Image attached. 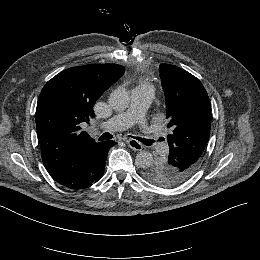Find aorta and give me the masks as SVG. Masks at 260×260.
Segmentation results:
<instances>
[{"label":"aorta","instance_id":"aorta-1","mask_svg":"<svg viewBox=\"0 0 260 260\" xmlns=\"http://www.w3.org/2000/svg\"><path fill=\"white\" fill-rule=\"evenodd\" d=\"M109 103L114 109L124 111L130 105V93L124 88L115 89L110 94ZM153 161V155L146 150L138 152L135 159V163L143 169L150 167Z\"/></svg>","mask_w":260,"mask_h":260}]
</instances>
